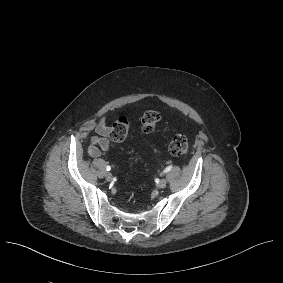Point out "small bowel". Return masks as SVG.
<instances>
[{
  "label": "small bowel",
  "mask_w": 283,
  "mask_h": 283,
  "mask_svg": "<svg viewBox=\"0 0 283 283\" xmlns=\"http://www.w3.org/2000/svg\"><path fill=\"white\" fill-rule=\"evenodd\" d=\"M110 132L111 128L108 126L106 118H101L95 127V135L91 138L90 145L88 147V154L92 158H97L102 152L110 150Z\"/></svg>",
  "instance_id": "small-bowel-1"
}]
</instances>
